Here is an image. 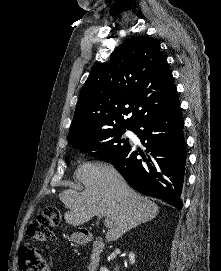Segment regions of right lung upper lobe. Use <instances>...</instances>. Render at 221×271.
Returning <instances> with one entry per match:
<instances>
[{
	"mask_svg": "<svg viewBox=\"0 0 221 271\" xmlns=\"http://www.w3.org/2000/svg\"><path fill=\"white\" fill-rule=\"evenodd\" d=\"M177 103L172 73L159 44L145 36L131 38L115 50L110 63L95 66L84 83L68 141L115 126L135 127Z\"/></svg>",
	"mask_w": 221,
	"mask_h": 271,
	"instance_id": "right-lung-upper-lobe-1",
	"label": "right lung upper lobe"
}]
</instances>
